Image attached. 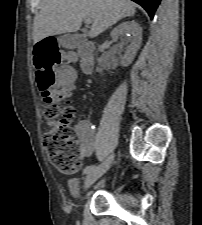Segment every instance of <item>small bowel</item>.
Returning <instances> with one entry per match:
<instances>
[{
    "mask_svg": "<svg viewBox=\"0 0 202 225\" xmlns=\"http://www.w3.org/2000/svg\"><path fill=\"white\" fill-rule=\"evenodd\" d=\"M59 73L64 75L63 80L66 86L69 89H73V77L67 76L69 73L73 74V68L71 66L62 67L59 69ZM75 130L79 138L80 159L85 160L92 155L98 143V139L94 135V127L87 120H80L75 125Z\"/></svg>",
    "mask_w": 202,
    "mask_h": 225,
    "instance_id": "1",
    "label": "small bowel"
}]
</instances>
